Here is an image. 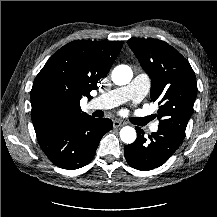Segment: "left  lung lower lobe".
I'll return each mask as SVG.
<instances>
[{
  "label": "left lung lower lobe",
  "mask_w": 217,
  "mask_h": 217,
  "mask_svg": "<svg viewBox=\"0 0 217 217\" xmlns=\"http://www.w3.org/2000/svg\"><path fill=\"white\" fill-rule=\"evenodd\" d=\"M137 139L124 147L128 164L141 171H148L163 165L177 150L184 135L164 126L157 132L144 137V131L136 127Z\"/></svg>",
  "instance_id": "obj_1"
}]
</instances>
